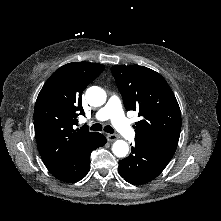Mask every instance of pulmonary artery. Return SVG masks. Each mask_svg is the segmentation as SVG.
Here are the masks:
<instances>
[{
  "label": "pulmonary artery",
  "instance_id": "pulmonary-artery-1",
  "mask_svg": "<svg viewBox=\"0 0 221 221\" xmlns=\"http://www.w3.org/2000/svg\"><path fill=\"white\" fill-rule=\"evenodd\" d=\"M95 119L103 121L110 119L115 129L126 139L135 137V131L125 118L121 109V103L117 96H111L106 105L97 111Z\"/></svg>",
  "mask_w": 221,
  "mask_h": 221
}]
</instances>
